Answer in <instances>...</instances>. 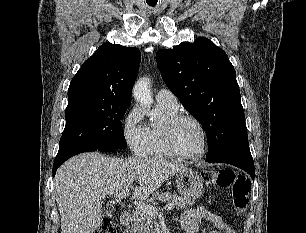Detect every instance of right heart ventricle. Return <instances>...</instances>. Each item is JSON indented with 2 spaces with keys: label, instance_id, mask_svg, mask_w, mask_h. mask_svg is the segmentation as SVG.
<instances>
[{
  "label": "right heart ventricle",
  "instance_id": "right-heart-ventricle-1",
  "mask_svg": "<svg viewBox=\"0 0 306 233\" xmlns=\"http://www.w3.org/2000/svg\"><path fill=\"white\" fill-rule=\"evenodd\" d=\"M159 108L165 115L166 119L177 114V109H171L162 105H159ZM149 131H150L149 155L151 157L158 159L170 157L171 155L168 152L164 142L163 126H151L149 128Z\"/></svg>",
  "mask_w": 306,
  "mask_h": 233
}]
</instances>
